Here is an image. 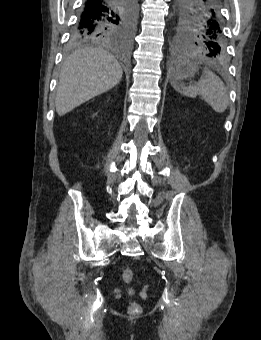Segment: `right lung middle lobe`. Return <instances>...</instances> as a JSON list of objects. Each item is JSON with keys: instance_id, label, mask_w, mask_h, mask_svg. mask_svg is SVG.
<instances>
[{"instance_id": "obj_1", "label": "right lung middle lobe", "mask_w": 261, "mask_h": 340, "mask_svg": "<svg viewBox=\"0 0 261 340\" xmlns=\"http://www.w3.org/2000/svg\"><path fill=\"white\" fill-rule=\"evenodd\" d=\"M137 18L136 0H126L125 7L116 14L101 16L82 27L72 29L70 44L86 42L128 41L131 39Z\"/></svg>"}]
</instances>
